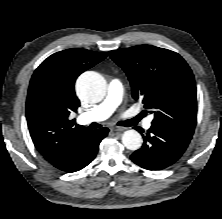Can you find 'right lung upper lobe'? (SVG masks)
<instances>
[{
    "instance_id": "right-lung-upper-lobe-1",
    "label": "right lung upper lobe",
    "mask_w": 222,
    "mask_h": 219,
    "mask_svg": "<svg viewBox=\"0 0 222 219\" xmlns=\"http://www.w3.org/2000/svg\"><path fill=\"white\" fill-rule=\"evenodd\" d=\"M106 56L86 49L63 50L44 60L31 78L26 102L29 132L37 150L56 168L89 131L68 118L80 106L76 78Z\"/></svg>"
}]
</instances>
